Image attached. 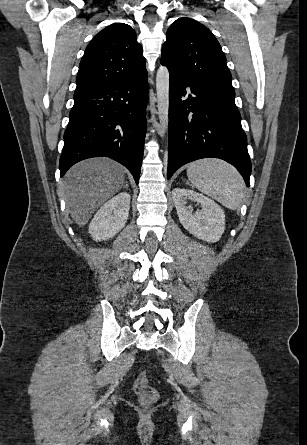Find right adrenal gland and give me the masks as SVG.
Returning <instances> with one entry per match:
<instances>
[{"label": "right adrenal gland", "instance_id": "2a0ac1e0", "mask_svg": "<svg viewBox=\"0 0 307 445\" xmlns=\"http://www.w3.org/2000/svg\"><path fill=\"white\" fill-rule=\"evenodd\" d=\"M128 184H125L124 188H127Z\"/></svg>", "mask_w": 307, "mask_h": 445}]
</instances>
